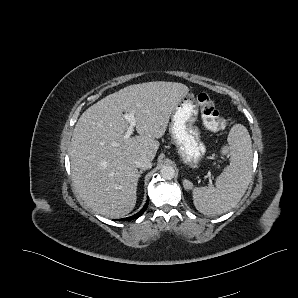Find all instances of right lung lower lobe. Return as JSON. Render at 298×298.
<instances>
[{
	"instance_id": "98d812e1",
	"label": "right lung lower lobe",
	"mask_w": 298,
	"mask_h": 298,
	"mask_svg": "<svg viewBox=\"0 0 298 298\" xmlns=\"http://www.w3.org/2000/svg\"><path fill=\"white\" fill-rule=\"evenodd\" d=\"M148 202H149V198L147 199V202L145 203L144 207L135 215L131 216V217H128V218H125V219H120V220H131V219H135V218H138L139 216H141L144 211L147 209L148 207Z\"/></svg>"
}]
</instances>
